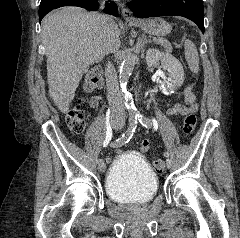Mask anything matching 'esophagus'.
<instances>
[{
	"mask_svg": "<svg viewBox=\"0 0 240 238\" xmlns=\"http://www.w3.org/2000/svg\"><path fill=\"white\" fill-rule=\"evenodd\" d=\"M121 15L125 20H135V17L131 10L126 7H122Z\"/></svg>",
	"mask_w": 240,
	"mask_h": 238,
	"instance_id": "34e87169",
	"label": "esophagus"
}]
</instances>
